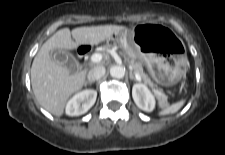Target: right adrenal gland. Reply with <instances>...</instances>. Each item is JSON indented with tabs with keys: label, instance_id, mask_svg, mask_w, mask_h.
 Listing matches in <instances>:
<instances>
[{
	"label": "right adrenal gland",
	"instance_id": "1",
	"mask_svg": "<svg viewBox=\"0 0 225 155\" xmlns=\"http://www.w3.org/2000/svg\"><path fill=\"white\" fill-rule=\"evenodd\" d=\"M93 82H91V81H87V82H85V86L87 85V84H92Z\"/></svg>",
	"mask_w": 225,
	"mask_h": 155
}]
</instances>
